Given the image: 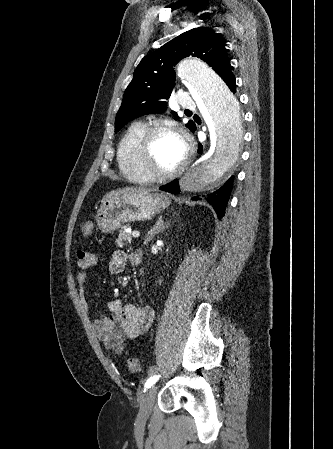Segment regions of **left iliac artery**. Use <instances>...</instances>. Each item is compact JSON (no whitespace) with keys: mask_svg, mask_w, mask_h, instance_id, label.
<instances>
[{"mask_svg":"<svg viewBox=\"0 0 333 449\" xmlns=\"http://www.w3.org/2000/svg\"><path fill=\"white\" fill-rule=\"evenodd\" d=\"M160 378V375H153L147 379L145 382V390L150 388L153 384H155L158 379Z\"/></svg>","mask_w":333,"mask_h":449,"instance_id":"left-iliac-artery-1","label":"left iliac artery"}]
</instances>
